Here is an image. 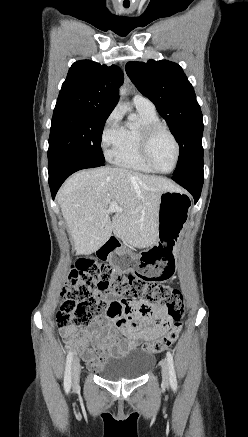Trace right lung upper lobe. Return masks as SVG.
I'll return each mask as SVG.
<instances>
[{
	"label": "right lung upper lobe",
	"mask_w": 248,
	"mask_h": 437,
	"mask_svg": "<svg viewBox=\"0 0 248 437\" xmlns=\"http://www.w3.org/2000/svg\"><path fill=\"white\" fill-rule=\"evenodd\" d=\"M123 72L90 60L75 62L60 90L56 106L110 114L116 106Z\"/></svg>",
	"instance_id": "right-lung-upper-lobe-1"
}]
</instances>
